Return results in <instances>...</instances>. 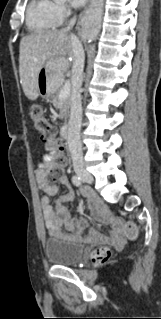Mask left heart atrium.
I'll return each mask as SVG.
<instances>
[{
    "mask_svg": "<svg viewBox=\"0 0 161 319\" xmlns=\"http://www.w3.org/2000/svg\"><path fill=\"white\" fill-rule=\"evenodd\" d=\"M87 0H70V4L73 7H80L86 3Z\"/></svg>",
    "mask_w": 161,
    "mask_h": 319,
    "instance_id": "obj_1",
    "label": "left heart atrium"
}]
</instances>
